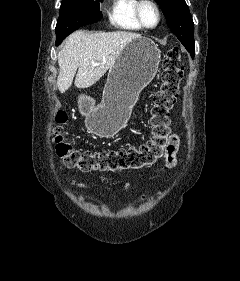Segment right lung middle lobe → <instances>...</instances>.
Segmentation results:
<instances>
[{"label":"right lung middle lobe","instance_id":"dd1d6c3e","mask_svg":"<svg viewBox=\"0 0 240 281\" xmlns=\"http://www.w3.org/2000/svg\"><path fill=\"white\" fill-rule=\"evenodd\" d=\"M103 0H62L56 25V45L81 26L100 20L99 3Z\"/></svg>","mask_w":240,"mask_h":281}]
</instances>
